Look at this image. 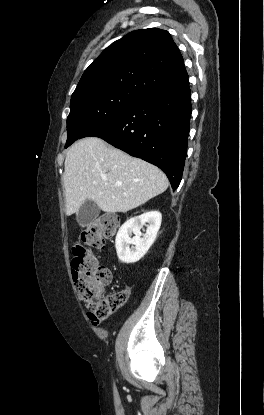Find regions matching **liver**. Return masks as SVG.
<instances>
[{
	"mask_svg": "<svg viewBox=\"0 0 264 415\" xmlns=\"http://www.w3.org/2000/svg\"><path fill=\"white\" fill-rule=\"evenodd\" d=\"M63 184L66 215L77 212L86 200L104 212H127L168 188L166 175L156 166L86 137L67 151Z\"/></svg>",
	"mask_w": 264,
	"mask_h": 415,
	"instance_id": "1",
	"label": "liver"
}]
</instances>
